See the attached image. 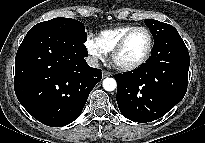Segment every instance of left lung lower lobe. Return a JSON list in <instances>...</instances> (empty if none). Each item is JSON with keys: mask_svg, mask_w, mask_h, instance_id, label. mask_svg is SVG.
<instances>
[{"mask_svg": "<svg viewBox=\"0 0 205 143\" xmlns=\"http://www.w3.org/2000/svg\"><path fill=\"white\" fill-rule=\"evenodd\" d=\"M189 65L188 49L177 31L155 42L146 63L115 75L122 115L139 123L164 116L187 91Z\"/></svg>", "mask_w": 205, "mask_h": 143, "instance_id": "1", "label": "left lung lower lobe"}]
</instances>
